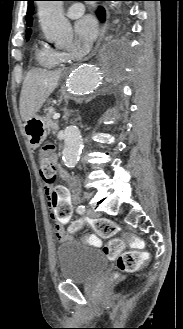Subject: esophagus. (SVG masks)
I'll return each mask as SVG.
<instances>
[{
    "label": "esophagus",
    "mask_w": 183,
    "mask_h": 329,
    "mask_svg": "<svg viewBox=\"0 0 183 329\" xmlns=\"http://www.w3.org/2000/svg\"><path fill=\"white\" fill-rule=\"evenodd\" d=\"M105 33H106V25L103 24V25L101 26L100 33H99V37H98V40H97V42H96V45H95L93 51H92V52H91L86 58H90V57H92V56L96 53V51H97V49L99 48L101 42L103 41V38H104V36H105Z\"/></svg>",
    "instance_id": "1"
}]
</instances>
